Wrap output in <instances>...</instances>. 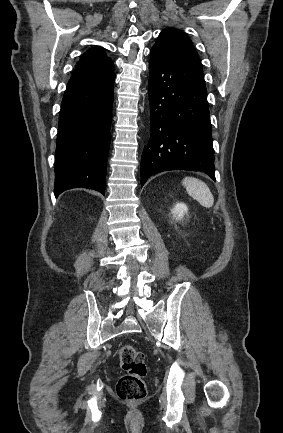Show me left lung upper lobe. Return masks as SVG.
<instances>
[{"mask_svg":"<svg viewBox=\"0 0 283 433\" xmlns=\"http://www.w3.org/2000/svg\"><path fill=\"white\" fill-rule=\"evenodd\" d=\"M153 48L165 49L199 61L191 40L176 29L167 28L163 30Z\"/></svg>","mask_w":283,"mask_h":433,"instance_id":"1","label":"left lung upper lobe"}]
</instances>
